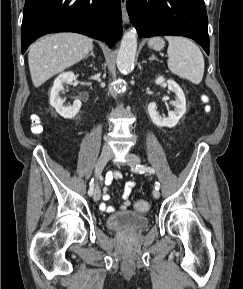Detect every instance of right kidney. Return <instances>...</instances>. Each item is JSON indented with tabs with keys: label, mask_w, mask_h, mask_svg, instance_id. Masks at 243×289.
Segmentation results:
<instances>
[{
	"label": "right kidney",
	"mask_w": 243,
	"mask_h": 289,
	"mask_svg": "<svg viewBox=\"0 0 243 289\" xmlns=\"http://www.w3.org/2000/svg\"><path fill=\"white\" fill-rule=\"evenodd\" d=\"M74 73L71 71L60 74L54 81L53 87L50 93V104L55 108L56 112L65 119L73 118L81 108V101L75 100L72 106H64L63 100L59 93L64 91L63 84H71L74 80Z\"/></svg>",
	"instance_id": "1"
}]
</instances>
